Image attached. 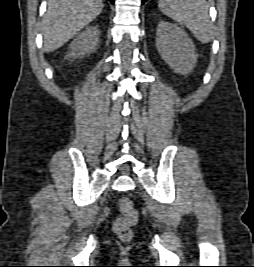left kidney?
Listing matches in <instances>:
<instances>
[{"label": "left kidney", "instance_id": "5707ae66", "mask_svg": "<svg viewBox=\"0 0 254 267\" xmlns=\"http://www.w3.org/2000/svg\"><path fill=\"white\" fill-rule=\"evenodd\" d=\"M156 47L164 61L176 73L187 75L194 69L198 55L188 35L177 25L160 21L156 33Z\"/></svg>", "mask_w": 254, "mask_h": 267}]
</instances>
